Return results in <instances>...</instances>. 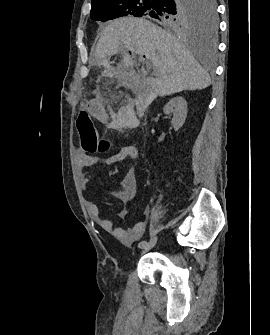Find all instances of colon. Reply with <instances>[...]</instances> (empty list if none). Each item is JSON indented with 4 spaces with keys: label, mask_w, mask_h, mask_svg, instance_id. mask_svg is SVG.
Listing matches in <instances>:
<instances>
[{
    "label": "colon",
    "mask_w": 270,
    "mask_h": 335,
    "mask_svg": "<svg viewBox=\"0 0 270 335\" xmlns=\"http://www.w3.org/2000/svg\"><path fill=\"white\" fill-rule=\"evenodd\" d=\"M76 123H79V132L83 136V149L87 154L103 155L111 148L108 139L100 137L93 124V116H87V110H78Z\"/></svg>",
    "instance_id": "colon-1"
}]
</instances>
